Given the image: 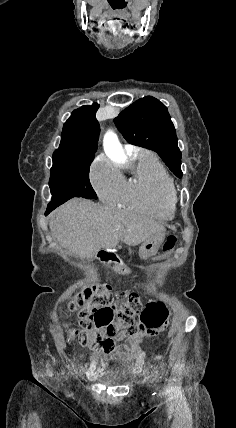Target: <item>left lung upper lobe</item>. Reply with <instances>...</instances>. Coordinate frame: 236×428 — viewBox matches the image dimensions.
<instances>
[{
	"label": "left lung upper lobe",
	"mask_w": 236,
	"mask_h": 428,
	"mask_svg": "<svg viewBox=\"0 0 236 428\" xmlns=\"http://www.w3.org/2000/svg\"><path fill=\"white\" fill-rule=\"evenodd\" d=\"M114 121L130 144L157 152L169 169L182 177L176 131L163 103L152 96L141 98Z\"/></svg>",
	"instance_id": "obj_1"
}]
</instances>
